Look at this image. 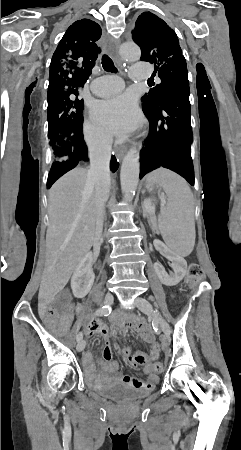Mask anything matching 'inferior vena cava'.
I'll use <instances>...</instances> for the list:
<instances>
[{
    "instance_id": "inferior-vena-cava-1",
    "label": "inferior vena cava",
    "mask_w": 241,
    "mask_h": 450,
    "mask_svg": "<svg viewBox=\"0 0 241 450\" xmlns=\"http://www.w3.org/2000/svg\"><path fill=\"white\" fill-rule=\"evenodd\" d=\"M112 136L104 138L100 146L94 148L89 154L90 170L87 172V180L85 190H93L95 188V204H96V228L95 242H99L102 238L105 202L109 198L110 192V160H111Z\"/></svg>"
}]
</instances>
